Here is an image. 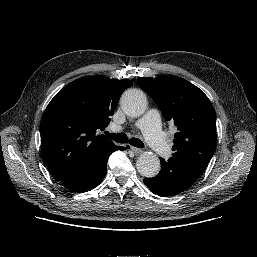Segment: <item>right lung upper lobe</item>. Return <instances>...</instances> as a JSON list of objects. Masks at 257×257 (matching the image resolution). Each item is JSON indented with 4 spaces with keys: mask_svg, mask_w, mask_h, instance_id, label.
I'll return each mask as SVG.
<instances>
[{
    "mask_svg": "<svg viewBox=\"0 0 257 257\" xmlns=\"http://www.w3.org/2000/svg\"><path fill=\"white\" fill-rule=\"evenodd\" d=\"M131 80L89 76L67 84L47 106L40 124L42 157L50 173L61 181L88 165L115 144L100 130Z\"/></svg>",
    "mask_w": 257,
    "mask_h": 257,
    "instance_id": "obj_1",
    "label": "right lung upper lobe"
}]
</instances>
